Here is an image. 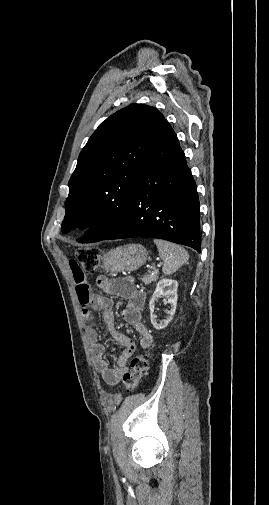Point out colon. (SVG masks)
I'll list each match as a JSON object with an SVG mask.
<instances>
[{"mask_svg": "<svg viewBox=\"0 0 269 505\" xmlns=\"http://www.w3.org/2000/svg\"><path fill=\"white\" fill-rule=\"evenodd\" d=\"M100 253L95 247H85L76 250V259L85 274H94L99 266ZM148 356L139 354L131 360L130 369L123 374V389L134 392L147 372Z\"/></svg>", "mask_w": 269, "mask_h": 505, "instance_id": "1", "label": "colon"}]
</instances>
